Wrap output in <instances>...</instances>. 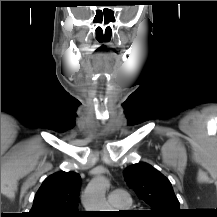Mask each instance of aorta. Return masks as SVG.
I'll return each instance as SVG.
<instances>
[{
  "mask_svg": "<svg viewBox=\"0 0 217 217\" xmlns=\"http://www.w3.org/2000/svg\"><path fill=\"white\" fill-rule=\"evenodd\" d=\"M109 187L108 180L102 176H95L87 185L83 195L82 203L86 211H109L105 193Z\"/></svg>",
  "mask_w": 217,
  "mask_h": 217,
  "instance_id": "aorta-1",
  "label": "aorta"
}]
</instances>
